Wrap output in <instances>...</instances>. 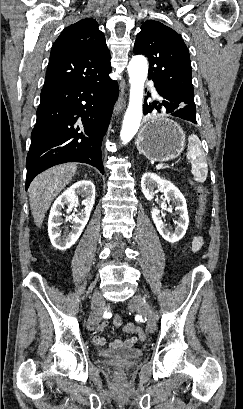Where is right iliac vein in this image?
Listing matches in <instances>:
<instances>
[{
    "mask_svg": "<svg viewBox=\"0 0 243 409\" xmlns=\"http://www.w3.org/2000/svg\"><path fill=\"white\" fill-rule=\"evenodd\" d=\"M100 299H101V295L98 292H96L92 298V308H91V313H90L88 324H87V328L90 331L96 328L99 322V319H100V314H101Z\"/></svg>",
    "mask_w": 243,
    "mask_h": 409,
    "instance_id": "right-iliac-vein-1",
    "label": "right iliac vein"
}]
</instances>
